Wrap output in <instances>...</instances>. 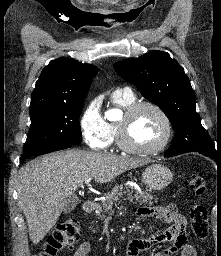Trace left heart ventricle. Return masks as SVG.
Here are the masks:
<instances>
[{"mask_svg": "<svg viewBox=\"0 0 221 256\" xmlns=\"http://www.w3.org/2000/svg\"><path fill=\"white\" fill-rule=\"evenodd\" d=\"M164 133L160 116L150 108L141 109L130 121L127 135L130 142L138 147L149 148L156 145Z\"/></svg>", "mask_w": 221, "mask_h": 256, "instance_id": "obj_1", "label": "left heart ventricle"}]
</instances>
